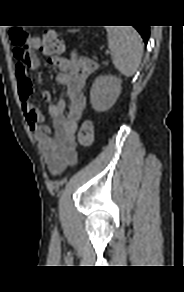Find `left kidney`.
Masks as SVG:
<instances>
[{
  "mask_svg": "<svg viewBox=\"0 0 184 292\" xmlns=\"http://www.w3.org/2000/svg\"><path fill=\"white\" fill-rule=\"evenodd\" d=\"M121 93V80L115 76L104 75L95 79L90 91V103L98 112L109 110Z\"/></svg>",
  "mask_w": 184,
  "mask_h": 292,
  "instance_id": "left-kidney-1",
  "label": "left kidney"
}]
</instances>
